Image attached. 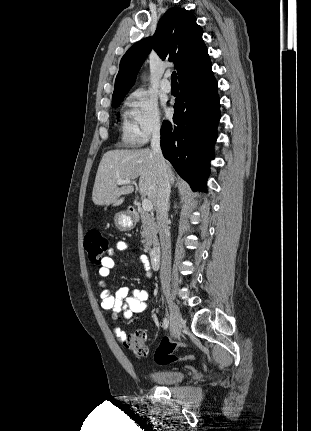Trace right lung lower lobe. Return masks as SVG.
Segmentation results:
<instances>
[{"mask_svg": "<svg viewBox=\"0 0 311 431\" xmlns=\"http://www.w3.org/2000/svg\"><path fill=\"white\" fill-rule=\"evenodd\" d=\"M172 121L161 127V149L194 191L206 192L210 160L217 138L220 99L211 65L179 84Z\"/></svg>", "mask_w": 311, "mask_h": 431, "instance_id": "1", "label": "right lung lower lobe"}]
</instances>
